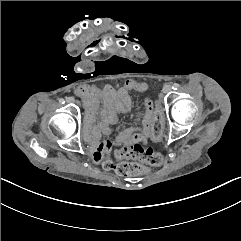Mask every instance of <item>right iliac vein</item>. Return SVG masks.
Returning a JSON list of instances; mask_svg holds the SVG:
<instances>
[{
    "instance_id": "obj_1",
    "label": "right iliac vein",
    "mask_w": 241,
    "mask_h": 241,
    "mask_svg": "<svg viewBox=\"0 0 241 241\" xmlns=\"http://www.w3.org/2000/svg\"><path fill=\"white\" fill-rule=\"evenodd\" d=\"M67 102H68V103H70V102H74V99L71 98V97H69V98H67Z\"/></svg>"
}]
</instances>
